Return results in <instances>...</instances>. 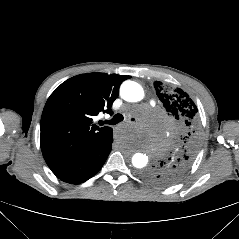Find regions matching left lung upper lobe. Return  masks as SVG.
<instances>
[{
    "label": "left lung upper lobe",
    "mask_w": 239,
    "mask_h": 239,
    "mask_svg": "<svg viewBox=\"0 0 239 239\" xmlns=\"http://www.w3.org/2000/svg\"><path fill=\"white\" fill-rule=\"evenodd\" d=\"M158 98L168 116L174 120L177 132L176 147L169 157L143 172V177L158 186L179 181L190 168L200 142L197 107L189 95L180 88L154 82Z\"/></svg>",
    "instance_id": "left-lung-upper-lobe-1"
}]
</instances>
